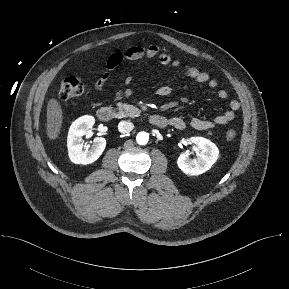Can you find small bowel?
I'll return each instance as SVG.
<instances>
[{
    "label": "small bowel",
    "mask_w": 289,
    "mask_h": 289,
    "mask_svg": "<svg viewBox=\"0 0 289 289\" xmlns=\"http://www.w3.org/2000/svg\"><path fill=\"white\" fill-rule=\"evenodd\" d=\"M143 59H156L162 66H172L175 68L182 67L185 76L194 83L207 85L211 89L218 88L217 80L211 78L207 72L201 71L193 65H182L179 60L173 59L170 54L162 52L157 45H147L131 46L123 51L111 54L107 60L106 71L95 82V89L98 92H101L105 84L110 79L111 73L120 64ZM129 81L130 80H128V82ZM172 92L173 89L170 86L164 85L157 89L156 94L160 97H167L171 95ZM131 94L132 90L130 88L119 90L115 94L114 99L118 100L123 96H130ZM216 95L220 99H226L228 97V93L224 89H217ZM239 108L240 103L237 100H231L229 102V108L213 119L192 117L188 121H185L183 118L175 116L169 119V125L180 130L186 128L188 125L196 130H208L214 128L215 126L226 125L231 122L235 117V112L238 111Z\"/></svg>",
    "instance_id": "c3829d8e"
}]
</instances>
